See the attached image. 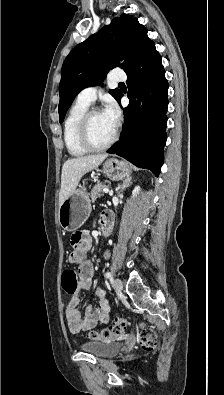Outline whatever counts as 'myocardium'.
Here are the masks:
<instances>
[{
	"mask_svg": "<svg viewBox=\"0 0 224 395\" xmlns=\"http://www.w3.org/2000/svg\"><path fill=\"white\" fill-rule=\"evenodd\" d=\"M98 112H101V110L97 107L88 108L83 114V116L81 117L78 127L79 140L82 146L86 150L93 152L103 151L109 148L117 140L119 134V128L118 125H116L113 135L106 143L102 145H96L95 143L92 142L89 134V125L92 116Z\"/></svg>",
	"mask_w": 224,
	"mask_h": 395,
	"instance_id": "f54148a6",
	"label": "myocardium"
}]
</instances>
